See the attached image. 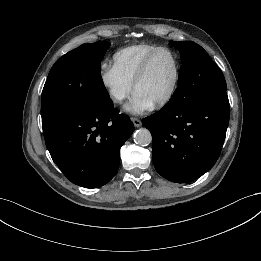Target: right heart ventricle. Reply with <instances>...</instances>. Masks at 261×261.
I'll use <instances>...</instances> for the list:
<instances>
[{"instance_id":"1","label":"right heart ventricle","mask_w":261,"mask_h":261,"mask_svg":"<svg viewBox=\"0 0 261 261\" xmlns=\"http://www.w3.org/2000/svg\"><path fill=\"white\" fill-rule=\"evenodd\" d=\"M159 46L151 44H137L117 50L111 60V66L127 81L133 80L144 59Z\"/></svg>"}]
</instances>
